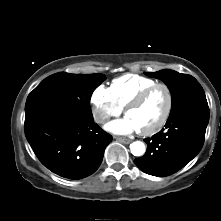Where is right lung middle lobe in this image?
<instances>
[{"label": "right lung middle lobe", "mask_w": 221, "mask_h": 221, "mask_svg": "<svg viewBox=\"0 0 221 221\" xmlns=\"http://www.w3.org/2000/svg\"><path fill=\"white\" fill-rule=\"evenodd\" d=\"M105 79L103 74H53L29 94L25 113L40 105L55 104L80 118L93 119L90 98Z\"/></svg>", "instance_id": "dd1d6c3e"}]
</instances>
